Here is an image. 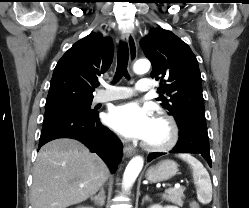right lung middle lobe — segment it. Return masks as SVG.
<instances>
[{
	"instance_id": "right-lung-middle-lobe-1",
	"label": "right lung middle lobe",
	"mask_w": 249,
	"mask_h": 208,
	"mask_svg": "<svg viewBox=\"0 0 249 208\" xmlns=\"http://www.w3.org/2000/svg\"><path fill=\"white\" fill-rule=\"evenodd\" d=\"M91 103H92V100L68 103V104L59 105L53 108L45 109V111L49 109H60V110H65V111H77V112H81L85 114H94L96 113V111L91 109Z\"/></svg>"
}]
</instances>
